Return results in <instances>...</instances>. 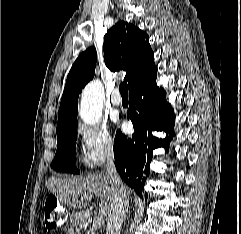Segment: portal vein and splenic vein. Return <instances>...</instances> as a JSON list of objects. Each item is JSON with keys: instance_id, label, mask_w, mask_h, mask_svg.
Masks as SVG:
<instances>
[{"instance_id": "obj_1", "label": "portal vein and splenic vein", "mask_w": 241, "mask_h": 234, "mask_svg": "<svg viewBox=\"0 0 241 234\" xmlns=\"http://www.w3.org/2000/svg\"><path fill=\"white\" fill-rule=\"evenodd\" d=\"M85 199L87 200L88 198L85 197ZM103 224H104V219L103 217L99 216L94 218L92 226L94 228H101Z\"/></svg>"}]
</instances>
